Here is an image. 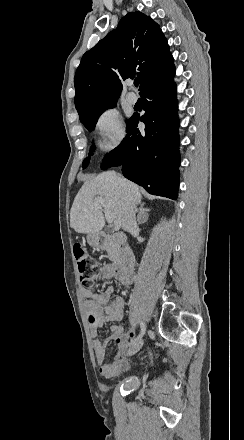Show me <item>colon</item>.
<instances>
[{
	"label": "colon",
	"mask_w": 244,
	"mask_h": 440,
	"mask_svg": "<svg viewBox=\"0 0 244 440\" xmlns=\"http://www.w3.org/2000/svg\"><path fill=\"white\" fill-rule=\"evenodd\" d=\"M73 250L77 260L78 271L81 281L86 288L94 287V280L92 279L94 276V272L97 273L99 270V263L96 259H90L86 248L80 243L75 244Z\"/></svg>",
	"instance_id": "obj_1"
}]
</instances>
